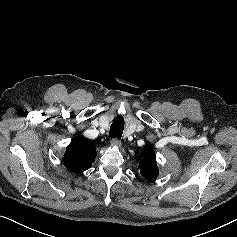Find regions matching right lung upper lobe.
I'll return each instance as SVG.
<instances>
[{"instance_id":"obj_1","label":"right lung upper lobe","mask_w":237,"mask_h":237,"mask_svg":"<svg viewBox=\"0 0 237 237\" xmlns=\"http://www.w3.org/2000/svg\"><path fill=\"white\" fill-rule=\"evenodd\" d=\"M95 156L94 143L83 137H77L68 145L63 163L72 172H83L92 166Z\"/></svg>"}]
</instances>
